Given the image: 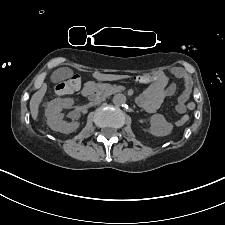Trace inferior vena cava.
Returning a JSON list of instances; mask_svg holds the SVG:
<instances>
[{
    "label": "inferior vena cava",
    "mask_w": 225,
    "mask_h": 225,
    "mask_svg": "<svg viewBox=\"0 0 225 225\" xmlns=\"http://www.w3.org/2000/svg\"><path fill=\"white\" fill-rule=\"evenodd\" d=\"M103 100H104L103 97L95 98V99L92 101V104H93V105L98 104V103L102 102Z\"/></svg>",
    "instance_id": "1"
}]
</instances>
